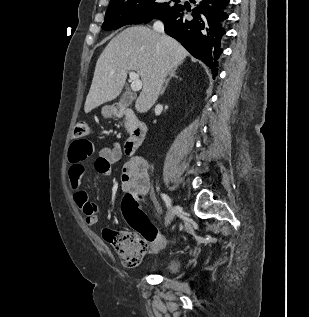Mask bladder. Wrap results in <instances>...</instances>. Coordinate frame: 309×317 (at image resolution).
<instances>
[{"instance_id":"1","label":"bladder","mask_w":309,"mask_h":317,"mask_svg":"<svg viewBox=\"0 0 309 317\" xmlns=\"http://www.w3.org/2000/svg\"><path fill=\"white\" fill-rule=\"evenodd\" d=\"M155 269L168 274H174L179 269V262L176 259H166L164 261L159 262L155 266Z\"/></svg>"}]
</instances>
